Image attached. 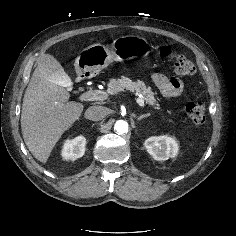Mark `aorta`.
Returning a JSON list of instances; mask_svg holds the SVG:
<instances>
[{
    "label": "aorta",
    "instance_id": "1",
    "mask_svg": "<svg viewBox=\"0 0 236 236\" xmlns=\"http://www.w3.org/2000/svg\"><path fill=\"white\" fill-rule=\"evenodd\" d=\"M114 130L119 134H125L128 132V123L124 120L116 121Z\"/></svg>",
    "mask_w": 236,
    "mask_h": 236
}]
</instances>
